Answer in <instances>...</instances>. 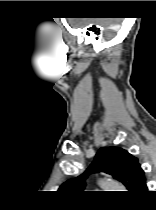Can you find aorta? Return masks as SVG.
I'll list each match as a JSON object with an SVG mask.
<instances>
[{
  "instance_id": "obj_1",
  "label": "aorta",
  "mask_w": 156,
  "mask_h": 210,
  "mask_svg": "<svg viewBox=\"0 0 156 210\" xmlns=\"http://www.w3.org/2000/svg\"><path fill=\"white\" fill-rule=\"evenodd\" d=\"M100 185L106 191H120V189H123L121 184L109 178L102 179Z\"/></svg>"
}]
</instances>
